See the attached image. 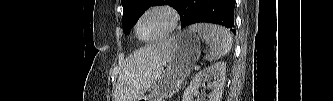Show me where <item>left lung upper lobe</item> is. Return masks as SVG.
Returning <instances> with one entry per match:
<instances>
[{
	"instance_id": "1",
	"label": "left lung upper lobe",
	"mask_w": 333,
	"mask_h": 101,
	"mask_svg": "<svg viewBox=\"0 0 333 101\" xmlns=\"http://www.w3.org/2000/svg\"><path fill=\"white\" fill-rule=\"evenodd\" d=\"M123 6L122 26L126 34L138 21L141 14L155 4H168L180 14V0H121Z\"/></svg>"
}]
</instances>
